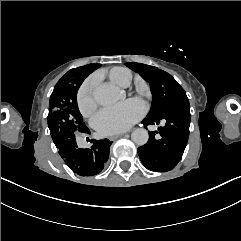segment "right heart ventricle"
<instances>
[{"label": "right heart ventricle", "mask_w": 241, "mask_h": 241, "mask_svg": "<svg viewBox=\"0 0 241 241\" xmlns=\"http://www.w3.org/2000/svg\"><path fill=\"white\" fill-rule=\"evenodd\" d=\"M109 77L118 85L128 86L132 80V73L125 67H114L110 70Z\"/></svg>", "instance_id": "right-heart-ventricle-1"}]
</instances>
